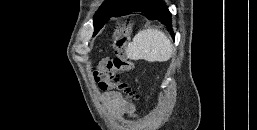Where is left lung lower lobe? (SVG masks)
<instances>
[{
	"label": "left lung lower lobe",
	"instance_id": "1",
	"mask_svg": "<svg viewBox=\"0 0 257 130\" xmlns=\"http://www.w3.org/2000/svg\"><path fill=\"white\" fill-rule=\"evenodd\" d=\"M132 12H141L149 20H158L172 31L171 13L161 0H129L123 6L116 8L109 16H122ZM98 30L94 32L96 34ZM174 38V34H173Z\"/></svg>",
	"mask_w": 257,
	"mask_h": 130
}]
</instances>
